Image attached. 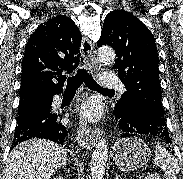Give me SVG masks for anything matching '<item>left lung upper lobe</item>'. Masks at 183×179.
Returning <instances> with one entry per match:
<instances>
[{"mask_svg": "<svg viewBox=\"0 0 183 179\" xmlns=\"http://www.w3.org/2000/svg\"><path fill=\"white\" fill-rule=\"evenodd\" d=\"M98 45H110L117 59L114 68L127 91L116 111H134L157 126L166 127L158 73V53L150 30L125 10L105 17Z\"/></svg>", "mask_w": 183, "mask_h": 179, "instance_id": "5c2ea615", "label": "left lung upper lobe"}]
</instances>
